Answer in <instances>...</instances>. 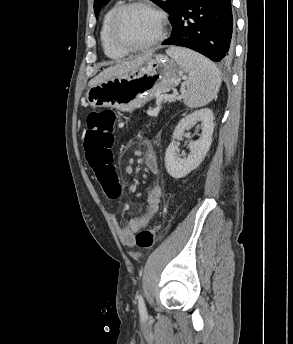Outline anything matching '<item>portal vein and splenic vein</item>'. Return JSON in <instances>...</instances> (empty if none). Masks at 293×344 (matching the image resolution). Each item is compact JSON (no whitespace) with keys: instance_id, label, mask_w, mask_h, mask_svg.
<instances>
[{"instance_id":"portal-vein-and-splenic-vein-1","label":"portal vein and splenic vein","mask_w":293,"mask_h":344,"mask_svg":"<svg viewBox=\"0 0 293 344\" xmlns=\"http://www.w3.org/2000/svg\"><path fill=\"white\" fill-rule=\"evenodd\" d=\"M173 97H176V96H160L157 98V107L154 109V111L151 113L152 116H156L161 108V102L164 100V99H167V98H173Z\"/></svg>"}]
</instances>
